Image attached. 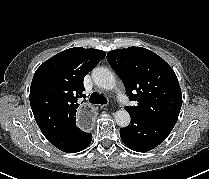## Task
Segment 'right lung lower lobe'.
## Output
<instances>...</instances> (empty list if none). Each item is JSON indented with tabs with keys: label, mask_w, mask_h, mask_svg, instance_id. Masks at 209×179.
Segmentation results:
<instances>
[{
	"label": "right lung lower lobe",
	"mask_w": 209,
	"mask_h": 179,
	"mask_svg": "<svg viewBox=\"0 0 209 179\" xmlns=\"http://www.w3.org/2000/svg\"><path fill=\"white\" fill-rule=\"evenodd\" d=\"M91 140V133L84 132L75 126L72 130L55 139L51 143L64 152L76 153L87 148L91 143Z\"/></svg>",
	"instance_id": "1"
}]
</instances>
